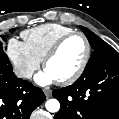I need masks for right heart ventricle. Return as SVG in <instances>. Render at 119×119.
I'll use <instances>...</instances> for the list:
<instances>
[{
    "mask_svg": "<svg viewBox=\"0 0 119 119\" xmlns=\"http://www.w3.org/2000/svg\"><path fill=\"white\" fill-rule=\"evenodd\" d=\"M74 29L61 24H45L22 33V37L31 53L42 61L50 48L64 35Z\"/></svg>",
    "mask_w": 119,
    "mask_h": 119,
    "instance_id": "1",
    "label": "right heart ventricle"
}]
</instances>
